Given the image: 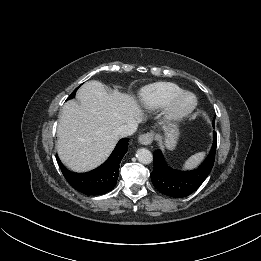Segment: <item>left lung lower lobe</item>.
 Listing matches in <instances>:
<instances>
[{
  "mask_svg": "<svg viewBox=\"0 0 261 261\" xmlns=\"http://www.w3.org/2000/svg\"><path fill=\"white\" fill-rule=\"evenodd\" d=\"M217 135L213 133L211 150L204 162L191 171H179L169 167L160 150L153 153L154 170L151 180L161 193L175 198L189 196L196 191L209 175L215 161Z\"/></svg>",
  "mask_w": 261,
  "mask_h": 261,
  "instance_id": "0a47b994",
  "label": "left lung lower lobe"
}]
</instances>
